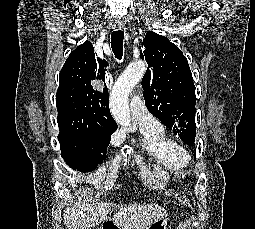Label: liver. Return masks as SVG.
I'll list each match as a JSON object with an SVG mask.
<instances>
[{
	"instance_id": "obj_1",
	"label": "liver",
	"mask_w": 255,
	"mask_h": 229,
	"mask_svg": "<svg viewBox=\"0 0 255 229\" xmlns=\"http://www.w3.org/2000/svg\"><path fill=\"white\" fill-rule=\"evenodd\" d=\"M74 195L78 200L70 201L63 214L68 229H90L105 221H111L122 229H145L154 220L166 216L165 209L156 203H95L89 199L91 193L87 188ZM111 207L118 208V212L109 218Z\"/></svg>"
}]
</instances>
